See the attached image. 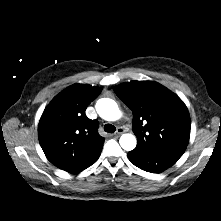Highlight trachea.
Returning a JSON list of instances; mask_svg holds the SVG:
<instances>
[{"label":"trachea","mask_w":221,"mask_h":221,"mask_svg":"<svg viewBox=\"0 0 221 221\" xmlns=\"http://www.w3.org/2000/svg\"><path fill=\"white\" fill-rule=\"evenodd\" d=\"M104 130H105V132L113 133V132L116 131V128H115V126L112 125V124H105Z\"/></svg>","instance_id":"3493384b"}]
</instances>
